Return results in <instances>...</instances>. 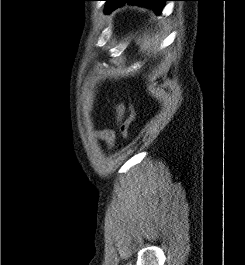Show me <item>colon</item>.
<instances>
[{
  "instance_id": "1",
  "label": "colon",
  "mask_w": 245,
  "mask_h": 265,
  "mask_svg": "<svg viewBox=\"0 0 245 265\" xmlns=\"http://www.w3.org/2000/svg\"><path fill=\"white\" fill-rule=\"evenodd\" d=\"M135 118L134 109L130 108L129 116L120 124L119 130L124 138L129 136V129Z\"/></svg>"
}]
</instances>
